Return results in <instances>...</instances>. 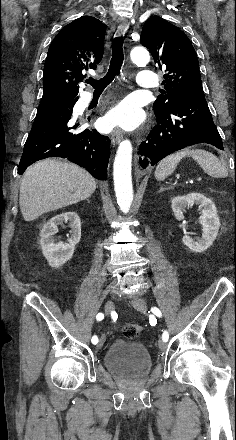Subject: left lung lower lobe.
<instances>
[{"mask_svg":"<svg viewBox=\"0 0 236 440\" xmlns=\"http://www.w3.org/2000/svg\"><path fill=\"white\" fill-rule=\"evenodd\" d=\"M157 125L139 146L143 168L155 165L167 155L187 146L207 143L223 150L204 93L180 98L170 112L156 115Z\"/></svg>","mask_w":236,"mask_h":440,"instance_id":"left-lung-lower-lobe-1","label":"left lung lower lobe"}]
</instances>
